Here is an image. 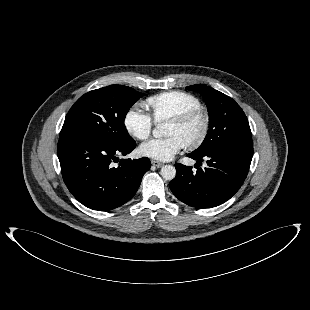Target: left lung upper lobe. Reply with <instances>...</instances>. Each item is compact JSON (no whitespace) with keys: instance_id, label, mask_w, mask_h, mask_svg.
Listing matches in <instances>:
<instances>
[{"instance_id":"5c2ea615","label":"left lung upper lobe","mask_w":310,"mask_h":310,"mask_svg":"<svg viewBox=\"0 0 310 310\" xmlns=\"http://www.w3.org/2000/svg\"><path fill=\"white\" fill-rule=\"evenodd\" d=\"M187 89L203 96L209 114L208 133L201 146L194 151L195 154L202 155L222 146L252 141L246 115L235 100L202 84Z\"/></svg>"}]
</instances>
